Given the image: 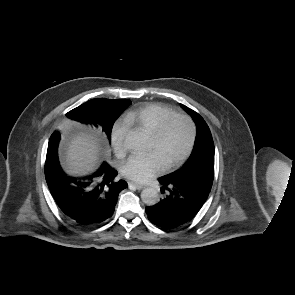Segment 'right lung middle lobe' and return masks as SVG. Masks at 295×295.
<instances>
[{"instance_id": "obj_1", "label": "right lung middle lobe", "mask_w": 295, "mask_h": 295, "mask_svg": "<svg viewBox=\"0 0 295 295\" xmlns=\"http://www.w3.org/2000/svg\"><path fill=\"white\" fill-rule=\"evenodd\" d=\"M130 104L131 101L127 99H92L71 110L67 115L72 120L102 128L110 137L114 122ZM53 174L63 175L56 154L45 163L46 179H50Z\"/></svg>"}]
</instances>
